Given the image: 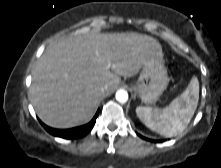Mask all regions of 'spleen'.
I'll return each instance as SVG.
<instances>
[{
  "label": "spleen",
  "mask_w": 221,
  "mask_h": 168,
  "mask_svg": "<svg viewBox=\"0 0 221 168\" xmlns=\"http://www.w3.org/2000/svg\"><path fill=\"white\" fill-rule=\"evenodd\" d=\"M199 100V82L193 77L186 90L164 109L137 107L138 118L152 131L165 137L183 132L190 123Z\"/></svg>",
  "instance_id": "3e777b00"
}]
</instances>
